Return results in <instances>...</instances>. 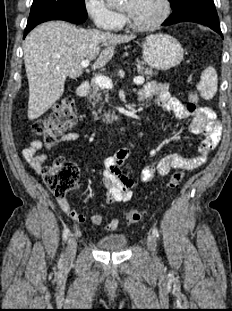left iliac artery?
I'll list each match as a JSON object with an SVG mask.
<instances>
[{
	"instance_id": "1",
	"label": "left iliac artery",
	"mask_w": 232,
	"mask_h": 311,
	"mask_svg": "<svg viewBox=\"0 0 232 311\" xmlns=\"http://www.w3.org/2000/svg\"><path fill=\"white\" fill-rule=\"evenodd\" d=\"M152 233H153V235H154L155 237H159V231H158V229L153 228V229H152Z\"/></svg>"
}]
</instances>
